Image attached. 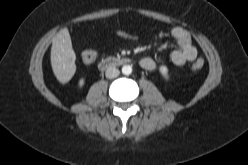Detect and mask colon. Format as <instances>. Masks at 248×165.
Wrapping results in <instances>:
<instances>
[{"instance_id": "obj_1", "label": "colon", "mask_w": 248, "mask_h": 165, "mask_svg": "<svg viewBox=\"0 0 248 165\" xmlns=\"http://www.w3.org/2000/svg\"><path fill=\"white\" fill-rule=\"evenodd\" d=\"M97 58V52L93 49H87L82 53V59L85 63H93ZM204 62L202 59L196 60L193 65L192 69L194 71H199L203 68Z\"/></svg>"}]
</instances>
